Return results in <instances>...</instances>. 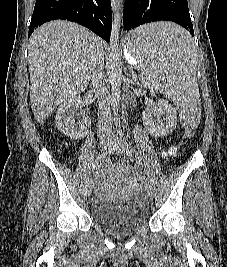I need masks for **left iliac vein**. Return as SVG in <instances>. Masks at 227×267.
I'll return each mask as SVG.
<instances>
[{"label":"left iliac vein","instance_id":"left-iliac-vein-1","mask_svg":"<svg viewBox=\"0 0 227 267\" xmlns=\"http://www.w3.org/2000/svg\"><path fill=\"white\" fill-rule=\"evenodd\" d=\"M111 146L115 149L119 154L126 155L128 157H132V148L123 138H119L113 135ZM145 190L148 196L152 199L154 195V189L152 184L149 181H145Z\"/></svg>","mask_w":227,"mask_h":267}]
</instances>
